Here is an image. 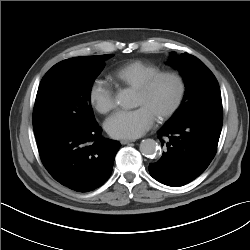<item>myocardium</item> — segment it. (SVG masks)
<instances>
[{
  "mask_svg": "<svg viewBox=\"0 0 250 250\" xmlns=\"http://www.w3.org/2000/svg\"><path fill=\"white\" fill-rule=\"evenodd\" d=\"M172 79L177 85V92L170 106L157 116V121L162 122L173 116L180 108L186 93V83L182 75L175 71H159L143 81L136 91L142 96H146L153 86L161 79Z\"/></svg>",
  "mask_w": 250,
  "mask_h": 250,
  "instance_id": "obj_1",
  "label": "myocardium"
}]
</instances>
